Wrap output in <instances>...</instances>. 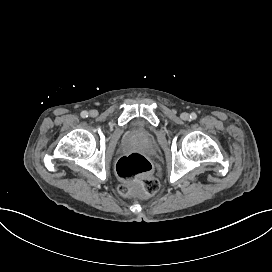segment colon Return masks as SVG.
Segmentation results:
<instances>
[{
    "mask_svg": "<svg viewBox=\"0 0 272 272\" xmlns=\"http://www.w3.org/2000/svg\"><path fill=\"white\" fill-rule=\"evenodd\" d=\"M152 165L142 154L133 152L123 156L116 165V172L127 183L121 184L118 189L124 194L138 190L139 194L153 196L159 192L160 183L151 175Z\"/></svg>",
    "mask_w": 272,
    "mask_h": 272,
    "instance_id": "1",
    "label": "colon"
}]
</instances>
